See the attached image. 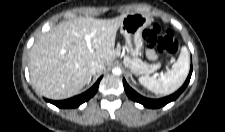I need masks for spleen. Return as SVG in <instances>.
<instances>
[{
    "instance_id": "spleen-1",
    "label": "spleen",
    "mask_w": 225,
    "mask_h": 132,
    "mask_svg": "<svg viewBox=\"0 0 225 132\" xmlns=\"http://www.w3.org/2000/svg\"><path fill=\"white\" fill-rule=\"evenodd\" d=\"M189 66V52L183 46L177 62L170 71L159 78L153 76L140 77L139 82L155 94H170L182 86L187 78Z\"/></svg>"
}]
</instances>
